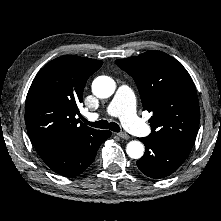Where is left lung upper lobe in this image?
<instances>
[{"label": "left lung upper lobe", "mask_w": 221, "mask_h": 221, "mask_svg": "<svg viewBox=\"0 0 221 221\" xmlns=\"http://www.w3.org/2000/svg\"><path fill=\"white\" fill-rule=\"evenodd\" d=\"M132 76L149 120L151 137L165 138L193 147L200 121L195 85L186 69L161 51L116 60Z\"/></svg>", "instance_id": "left-lung-upper-lobe-1"}]
</instances>
